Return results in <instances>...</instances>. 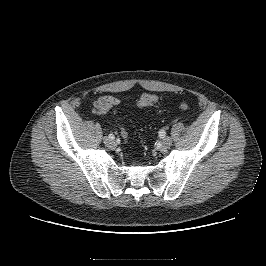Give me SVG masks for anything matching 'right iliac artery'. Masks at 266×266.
<instances>
[{"label":"right iliac artery","mask_w":266,"mask_h":266,"mask_svg":"<svg viewBox=\"0 0 266 266\" xmlns=\"http://www.w3.org/2000/svg\"><path fill=\"white\" fill-rule=\"evenodd\" d=\"M108 138L109 139H114V135L113 134H109Z\"/></svg>","instance_id":"right-iliac-artery-1"}]
</instances>
